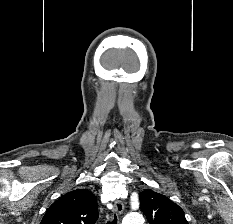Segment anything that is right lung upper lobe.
<instances>
[{"instance_id": "obj_1", "label": "right lung upper lobe", "mask_w": 233, "mask_h": 224, "mask_svg": "<svg viewBox=\"0 0 233 224\" xmlns=\"http://www.w3.org/2000/svg\"><path fill=\"white\" fill-rule=\"evenodd\" d=\"M97 199L85 189H77L60 197L46 211L40 224H95Z\"/></svg>"}]
</instances>
